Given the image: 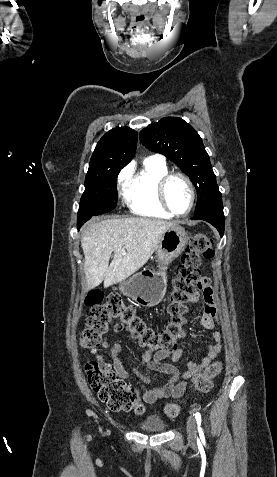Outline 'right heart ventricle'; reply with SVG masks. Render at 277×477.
Listing matches in <instances>:
<instances>
[{
    "mask_svg": "<svg viewBox=\"0 0 277 477\" xmlns=\"http://www.w3.org/2000/svg\"><path fill=\"white\" fill-rule=\"evenodd\" d=\"M168 173L163 161L146 159L140 171L129 180L126 202L136 215L149 218L170 219L172 216L161 206L157 196V184Z\"/></svg>",
    "mask_w": 277,
    "mask_h": 477,
    "instance_id": "1",
    "label": "right heart ventricle"
}]
</instances>
